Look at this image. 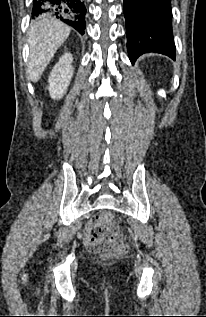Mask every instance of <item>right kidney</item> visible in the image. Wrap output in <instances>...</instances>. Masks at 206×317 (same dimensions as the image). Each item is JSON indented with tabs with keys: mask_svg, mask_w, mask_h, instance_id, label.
<instances>
[{
	"mask_svg": "<svg viewBox=\"0 0 206 317\" xmlns=\"http://www.w3.org/2000/svg\"><path fill=\"white\" fill-rule=\"evenodd\" d=\"M72 61V55L65 53L52 69L48 82L49 93L53 99H60L66 93L74 72Z\"/></svg>",
	"mask_w": 206,
	"mask_h": 317,
	"instance_id": "obj_1",
	"label": "right kidney"
}]
</instances>
